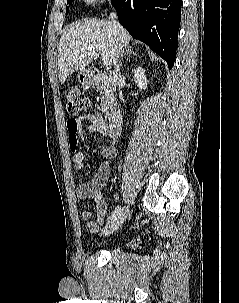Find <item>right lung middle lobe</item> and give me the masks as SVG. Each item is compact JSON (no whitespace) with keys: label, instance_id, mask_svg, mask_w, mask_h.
Wrapping results in <instances>:
<instances>
[{"label":"right lung middle lobe","instance_id":"right-lung-middle-lobe-1","mask_svg":"<svg viewBox=\"0 0 239 303\" xmlns=\"http://www.w3.org/2000/svg\"><path fill=\"white\" fill-rule=\"evenodd\" d=\"M72 1H73V0H68V1H67V4H71ZM68 11H69V7L67 6V7H66V14L68 13Z\"/></svg>","mask_w":239,"mask_h":303}]
</instances>
